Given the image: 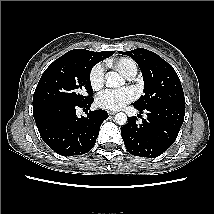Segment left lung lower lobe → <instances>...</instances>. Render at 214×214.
Instances as JSON below:
<instances>
[{
    "instance_id": "obj_1",
    "label": "left lung lower lobe",
    "mask_w": 214,
    "mask_h": 214,
    "mask_svg": "<svg viewBox=\"0 0 214 214\" xmlns=\"http://www.w3.org/2000/svg\"><path fill=\"white\" fill-rule=\"evenodd\" d=\"M137 110H146L148 117L140 125L136 117H131L121 128L126 149L135 156L158 157L175 142L184 121L185 105L165 103Z\"/></svg>"
}]
</instances>
